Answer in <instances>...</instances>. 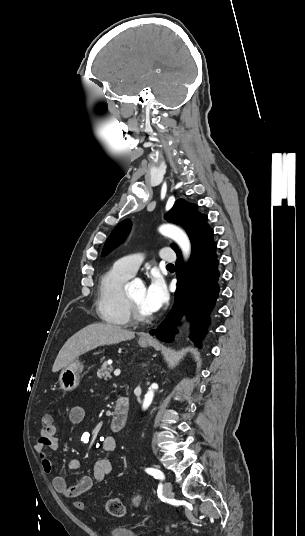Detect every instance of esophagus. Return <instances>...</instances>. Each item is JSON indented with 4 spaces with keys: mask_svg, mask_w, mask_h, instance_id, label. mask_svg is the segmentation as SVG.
Segmentation results:
<instances>
[{
    "mask_svg": "<svg viewBox=\"0 0 305 536\" xmlns=\"http://www.w3.org/2000/svg\"><path fill=\"white\" fill-rule=\"evenodd\" d=\"M144 341H152V338H151V337H148V336H146V337H144Z\"/></svg>",
    "mask_w": 305,
    "mask_h": 536,
    "instance_id": "esophagus-1",
    "label": "esophagus"
}]
</instances>
